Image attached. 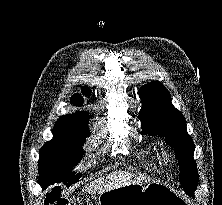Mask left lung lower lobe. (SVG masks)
Masks as SVG:
<instances>
[{
	"label": "left lung lower lobe",
	"mask_w": 222,
	"mask_h": 205,
	"mask_svg": "<svg viewBox=\"0 0 222 205\" xmlns=\"http://www.w3.org/2000/svg\"><path fill=\"white\" fill-rule=\"evenodd\" d=\"M190 197H193L194 198V192H191V191H189V192H186Z\"/></svg>",
	"instance_id": "obj_1"
}]
</instances>
